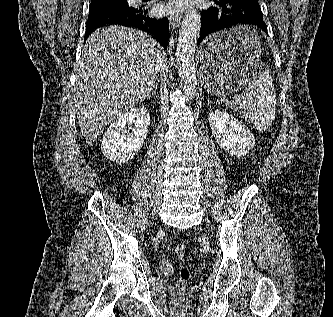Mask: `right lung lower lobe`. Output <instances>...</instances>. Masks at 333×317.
I'll return each instance as SVG.
<instances>
[{
  "label": "right lung lower lobe",
  "mask_w": 333,
  "mask_h": 317,
  "mask_svg": "<svg viewBox=\"0 0 333 317\" xmlns=\"http://www.w3.org/2000/svg\"><path fill=\"white\" fill-rule=\"evenodd\" d=\"M107 25H122L146 31L153 35L165 49L167 48L169 37L168 19L150 18L143 6L107 7L89 10L85 40L95 29Z\"/></svg>",
  "instance_id": "obj_1"
}]
</instances>
